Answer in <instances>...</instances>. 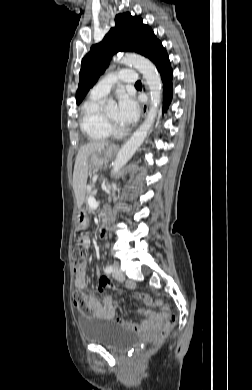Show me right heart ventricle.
I'll use <instances>...</instances> for the list:
<instances>
[{
    "instance_id": "1",
    "label": "right heart ventricle",
    "mask_w": 252,
    "mask_h": 390,
    "mask_svg": "<svg viewBox=\"0 0 252 390\" xmlns=\"http://www.w3.org/2000/svg\"><path fill=\"white\" fill-rule=\"evenodd\" d=\"M103 98L90 95L82 104L80 128L82 132L92 141H104L111 136L100 105Z\"/></svg>"
}]
</instances>
